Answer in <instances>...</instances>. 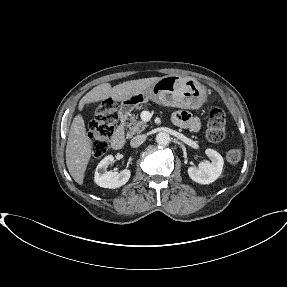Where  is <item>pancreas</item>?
Returning a JSON list of instances; mask_svg holds the SVG:
<instances>
[{
  "instance_id": "1",
  "label": "pancreas",
  "mask_w": 287,
  "mask_h": 287,
  "mask_svg": "<svg viewBox=\"0 0 287 287\" xmlns=\"http://www.w3.org/2000/svg\"><path fill=\"white\" fill-rule=\"evenodd\" d=\"M142 108V106L139 107V109ZM127 120L128 122L125 123V126L128 128V138H131L133 135L143 132L148 126L146 122L138 120V115H131L130 118H128Z\"/></svg>"
}]
</instances>
